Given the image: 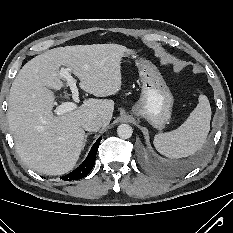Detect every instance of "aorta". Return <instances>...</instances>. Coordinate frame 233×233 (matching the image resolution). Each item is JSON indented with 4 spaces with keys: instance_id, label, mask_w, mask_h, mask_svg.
<instances>
[{
    "instance_id": "1",
    "label": "aorta",
    "mask_w": 233,
    "mask_h": 233,
    "mask_svg": "<svg viewBox=\"0 0 233 233\" xmlns=\"http://www.w3.org/2000/svg\"><path fill=\"white\" fill-rule=\"evenodd\" d=\"M133 129L128 124H121L117 128V134L120 138L128 139L132 136Z\"/></svg>"
}]
</instances>
